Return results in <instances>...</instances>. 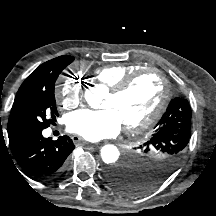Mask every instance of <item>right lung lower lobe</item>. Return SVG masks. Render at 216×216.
I'll list each match as a JSON object with an SVG mask.
<instances>
[{
	"label": "right lung lower lobe",
	"mask_w": 216,
	"mask_h": 216,
	"mask_svg": "<svg viewBox=\"0 0 216 216\" xmlns=\"http://www.w3.org/2000/svg\"><path fill=\"white\" fill-rule=\"evenodd\" d=\"M9 146L19 166L39 180H48L61 173L75 148L68 136L52 141L42 136V130H26L9 136Z\"/></svg>",
	"instance_id": "1"
}]
</instances>
